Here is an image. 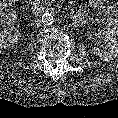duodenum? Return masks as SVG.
<instances>
[{"mask_svg":"<svg viewBox=\"0 0 118 118\" xmlns=\"http://www.w3.org/2000/svg\"><path fill=\"white\" fill-rule=\"evenodd\" d=\"M35 1V11L38 14H43L48 10V6L45 5L44 3L40 2L39 0H34ZM74 23L77 26H82L83 25V19L79 16L75 17Z\"/></svg>","mask_w":118,"mask_h":118,"instance_id":"1","label":"duodenum"}]
</instances>
